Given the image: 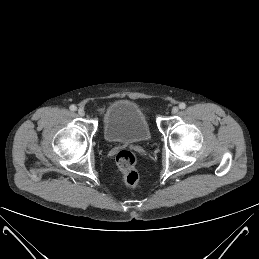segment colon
<instances>
[{
  "mask_svg": "<svg viewBox=\"0 0 259 259\" xmlns=\"http://www.w3.org/2000/svg\"><path fill=\"white\" fill-rule=\"evenodd\" d=\"M136 161V155L130 150H121L116 156V164L123 174L124 181L131 187H137L140 184Z\"/></svg>",
  "mask_w": 259,
  "mask_h": 259,
  "instance_id": "obj_1",
  "label": "colon"
}]
</instances>
